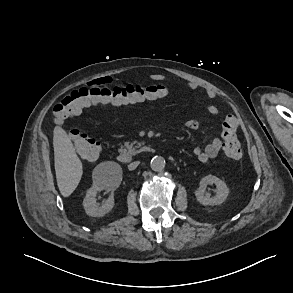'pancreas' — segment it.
<instances>
[{
	"instance_id": "1",
	"label": "pancreas",
	"mask_w": 293,
	"mask_h": 293,
	"mask_svg": "<svg viewBox=\"0 0 293 293\" xmlns=\"http://www.w3.org/2000/svg\"><path fill=\"white\" fill-rule=\"evenodd\" d=\"M133 144L134 143L126 142L125 147H121L120 150L122 152H128V153H131V154H136V153H138V150H137L138 146L133 147Z\"/></svg>"
}]
</instances>
